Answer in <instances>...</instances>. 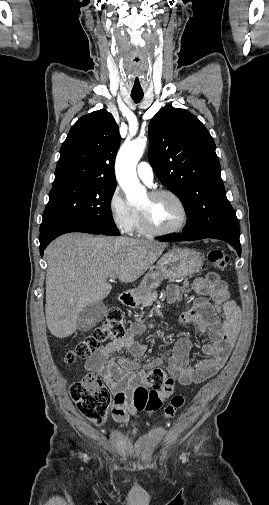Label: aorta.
Returning <instances> with one entry per match:
<instances>
[{
    "mask_svg": "<svg viewBox=\"0 0 269 505\" xmlns=\"http://www.w3.org/2000/svg\"><path fill=\"white\" fill-rule=\"evenodd\" d=\"M146 148V139L138 137L125 143L116 158V178L131 204H137L147 197L146 188L139 182L136 166Z\"/></svg>",
    "mask_w": 269,
    "mask_h": 505,
    "instance_id": "762f6f07",
    "label": "aorta"
}]
</instances>
